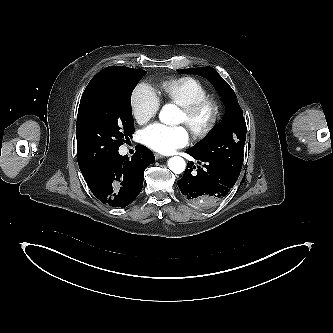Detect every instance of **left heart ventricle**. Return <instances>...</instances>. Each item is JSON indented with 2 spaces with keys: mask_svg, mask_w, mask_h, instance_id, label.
<instances>
[{
  "mask_svg": "<svg viewBox=\"0 0 333 333\" xmlns=\"http://www.w3.org/2000/svg\"><path fill=\"white\" fill-rule=\"evenodd\" d=\"M209 117H210V112L209 111H206L204 112L203 114H201L195 121V125L197 127H202L203 125H205L208 120H209ZM179 122L181 123H186V117L184 115L183 112H181L180 114V118H179Z\"/></svg>",
  "mask_w": 333,
  "mask_h": 333,
  "instance_id": "b2bd125f",
  "label": "left heart ventricle"
}]
</instances>
